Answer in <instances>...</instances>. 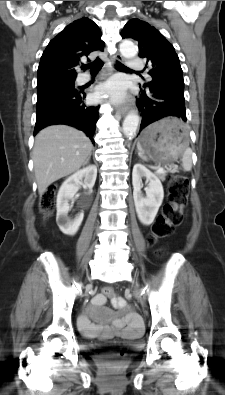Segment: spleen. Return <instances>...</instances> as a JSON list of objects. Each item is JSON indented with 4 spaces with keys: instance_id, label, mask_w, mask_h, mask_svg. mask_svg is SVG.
I'll return each mask as SVG.
<instances>
[{
    "instance_id": "1",
    "label": "spleen",
    "mask_w": 225,
    "mask_h": 395,
    "mask_svg": "<svg viewBox=\"0 0 225 395\" xmlns=\"http://www.w3.org/2000/svg\"><path fill=\"white\" fill-rule=\"evenodd\" d=\"M138 154L143 160H147L146 156L140 150ZM182 166L185 171H190L192 168V151L190 148H187L182 155Z\"/></svg>"
}]
</instances>
